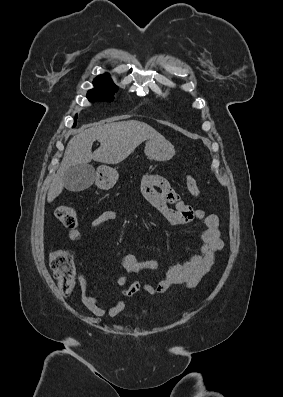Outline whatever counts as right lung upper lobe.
<instances>
[{
	"instance_id": "1",
	"label": "right lung upper lobe",
	"mask_w": 283,
	"mask_h": 397,
	"mask_svg": "<svg viewBox=\"0 0 283 397\" xmlns=\"http://www.w3.org/2000/svg\"><path fill=\"white\" fill-rule=\"evenodd\" d=\"M93 82H112L108 74H103L94 79Z\"/></svg>"
}]
</instances>
